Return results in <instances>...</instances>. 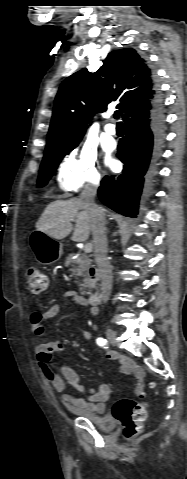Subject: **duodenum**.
<instances>
[{
  "label": "duodenum",
  "mask_w": 187,
  "mask_h": 479,
  "mask_svg": "<svg viewBox=\"0 0 187 479\" xmlns=\"http://www.w3.org/2000/svg\"><path fill=\"white\" fill-rule=\"evenodd\" d=\"M99 301V294L96 291H90L88 293V302L91 305L97 304Z\"/></svg>",
  "instance_id": "duodenum-1"
}]
</instances>
